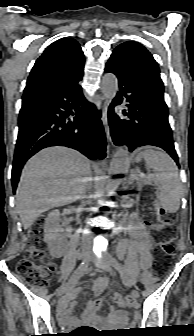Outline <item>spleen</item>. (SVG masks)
I'll use <instances>...</instances> for the list:
<instances>
[{
	"label": "spleen",
	"instance_id": "3e777b00",
	"mask_svg": "<svg viewBox=\"0 0 194 336\" xmlns=\"http://www.w3.org/2000/svg\"><path fill=\"white\" fill-rule=\"evenodd\" d=\"M145 160L147 166L156 173L160 184L157 194L162 208L170 213H175L180 206L182 185L178 175V168L170 156L151 147H144L136 156V162Z\"/></svg>",
	"mask_w": 194,
	"mask_h": 336
}]
</instances>
